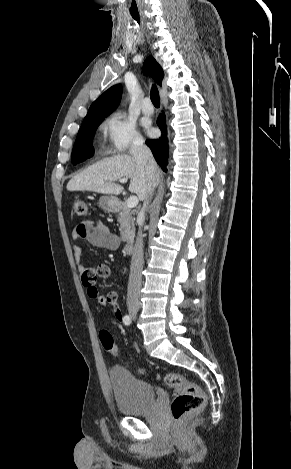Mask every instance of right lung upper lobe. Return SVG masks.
I'll return each instance as SVG.
<instances>
[{
    "mask_svg": "<svg viewBox=\"0 0 291 469\" xmlns=\"http://www.w3.org/2000/svg\"><path fill=\"white\" fill-rule=\"evenodd\" d=\"M145 71L150 74L158 85H161L164 73L160 65L153 57H148L144 63ZM122 88L114 85L105 91L89 108L84 120L104 118L112 113L120 103Z\"/></svg>",
    "mask_w": 291,
    "mask_h": 469,
    "instance_id": "obj_1",
    "label": "right lung upper lobe"
}]
</instances>
